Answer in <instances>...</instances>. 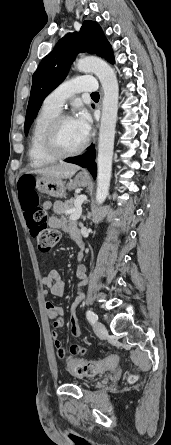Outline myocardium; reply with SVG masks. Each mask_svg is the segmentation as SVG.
<instances>
[{"mask_svg": "<svg viewBox=\"0 0 171 445\" xmlns=\"http://www.w3.org/2000/svg\"><path fill=\"white\" fill-rule=\"evenodd\" d=\"M69 119H74V118L70 114H58L47 125L44 131L43 141H42L43 150L47 155L54 157L56 159L67 158L78 155L87 148L89 143L88 136L78 148L73 150H63L58 145L57 142L58 130L61 124Z\"/></svg>", "mask_w": 171, "mask_h": 445, "instance_id": "myocardium-1", "label": "myocardium"}]
</instances>
